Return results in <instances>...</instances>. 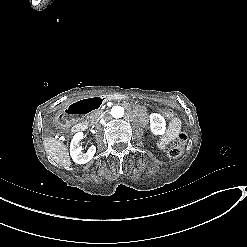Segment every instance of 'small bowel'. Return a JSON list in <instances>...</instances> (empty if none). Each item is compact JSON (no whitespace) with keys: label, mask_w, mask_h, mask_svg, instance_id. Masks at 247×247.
I'll return each instance as SVG.
<instances>
[{"label":"small bowel","mask_w":247,"mask_h":247,"mask_svg":"<svg viewBox=\"0 0 247 247\" xmlns=\"http://www.w3.org/2000/svg\"><path fill=\"white\" fill-rule=\"evenodd\" d=\"M170 116V113H167ZM181 134V122L178 118H173L169 124V127L158 142V147L160 149H164L170 142L177 139V137Z\"/></svg>","instance_id":"small-bowel-1"}]
</instances>
